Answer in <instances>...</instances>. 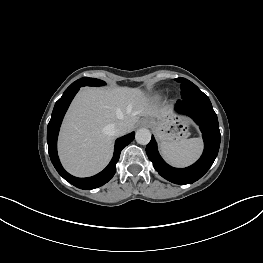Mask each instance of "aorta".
I'll use <instances>...</instances> for the list:
<instances>
[{
  "instance_id": "aorta-1",
  "label": "aorta",
  "mask_w": 263,
  "mask_h": 263,
  "mask_svg": "<svg viewBox=\"0 0 263 263\" xmlns=\"http://www.w3.org/2000/svg\"><path fill=\"white\" fill-rule=\"evenodd\" d=\"M135 139H136L137 143H139L141 145H146L151 140V133L146 128L138 129L136 132V135H135Z\"/></svg>"
}]
</instances>
